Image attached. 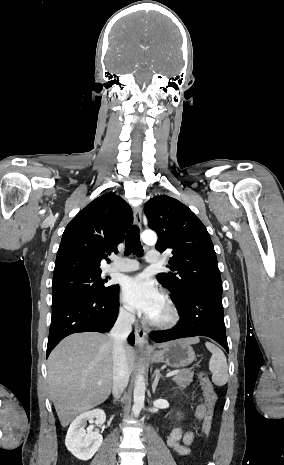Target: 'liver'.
Instances as JSON below:
<instances>
[{"instance_id":"liver-1","label":"liver","mask_w":284,"mask_h":465,"mask_svg":"<svg viewBox=\"0 0 284 465\" xmlns=\"http://www.w3.org/2000/svg\"><path fill=\"white\" fill-rule=\"evenodd\" d=\"M184 343H199V337L184 339ZM113 349L112 337L80 333L66 337L52 351L48 359L49 393L62 427L108 399L113 385ZM124 349L132 373L135 353L129 345Z\"/></svg>"}]
</instances>
